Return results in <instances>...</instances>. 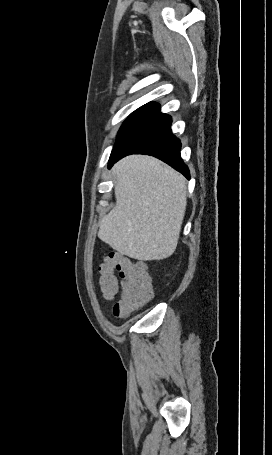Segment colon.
<instances>
[{"mask_svg": "<svg viewBox=\"0 0 272 455\" xmlns=\"http://www.w3.org/2000/svg\"><path fill=\"white\" fill-rule=\"evenodd\" d=\"M100 288L110 299L120 290L121 297L113 307V314L123 318L153 297L151 280L145 265L119 253L109 254L99 265ZM115 271L118 277L115 276Z\"/></svg>", "mask_w": 272, "mask_h": 455, "instance_id": "1", "label": "colon"}]
</instances>
